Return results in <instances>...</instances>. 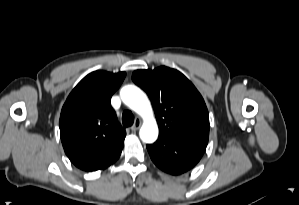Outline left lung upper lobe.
<instances>
[{
	"mask_svg": "<svg viewBox=\"0 0 299 205\" xmlns=\"http://www.w3.org/2000/svg\"><path fill=\"white\" fill-rule=\"evenodd\" d=\"M132 79L149 96L159 138L180 137L208 142L209 116L194 85L179 71L162 66L136 70Z\"/></svg>",
	"mask_w": 299,
	"mask_h": 205,
	"instance_id": "1",
	"label": "left lung upper lobe"
}]
</instances>
